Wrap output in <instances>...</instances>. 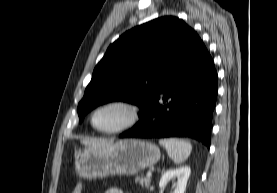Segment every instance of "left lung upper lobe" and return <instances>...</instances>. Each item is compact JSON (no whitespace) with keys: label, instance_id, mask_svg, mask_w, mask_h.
<instances>
[{"label":"left lung upper lobe","instance_id":"left-lung-upper-lobe-1","mask_svg":"<svg viewBox=\"0 0 277 193\" xmlns=\"http://www.w3.org/2000/svg\"><path fill=\"white\" fill-rule=\"evenodd\" d=\"M183 20L166 16L125 32L95 67L78 104L79 122L96 106L115 100L148 110L198 39Z\"/></svg>","mask_w":277,"mask_h":193}]
</instances>
